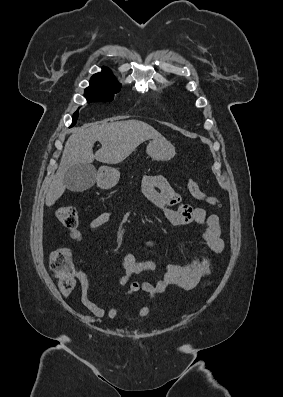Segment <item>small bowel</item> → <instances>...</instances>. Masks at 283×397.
I'll use <instances>...</instances> for the list:
<instances>
[{"mask_svg": "<svg viewBox=\"0 0 283 397\" xmlns=\"http://www.w3.org/2000/svg\"><path fill=\"white\" fill-rule=\"evenodd\" d=\"M142 192L146 199L158 209L163 217L171 225H184L195 222L204 227L202 239L204 242V255L195 257L184 265L167 264L163 277L157 282L133 281L131 279L145 271L156 268L155 261H138L134 254H126L122 259L124 274L117 279L121 286L129 285L127 294H133L139 290L144 291L149 298L164 292L172 286L189 290L194 288L204 277L215 268L217 259L224 249L221 239V222L217 215L207 214L203 208L192 207L184 203L181 196L171 187L162 176L147 175L142 180ZM114 218V213L105 211L92 219L88 224L89 230H96ZM73 241L81 242L84 233L79 229H73L69 233ZM76 276L81 288V301L95 318L107 316L115 320L123 310V304L117 303L109 310H105L90 294L89 281L86 273L76 271ZM150 307L144 306L139 317L148 315Z\"/></svg>", "mask_w": 283, "mask_h": 397, "instance_id": "small-bowel-1", "label": "small bowel"}]
</instances>
